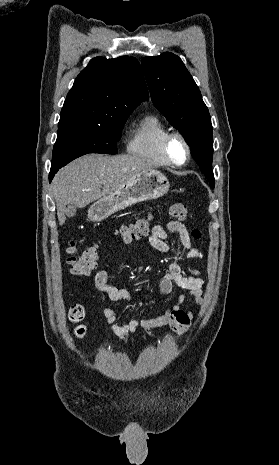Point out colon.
Returning a JSON list of instances; mask_svg holds the SVG:
<instances>
[{"label":"colon","instance_id":"5ec220e1","mask_svg":"<svg viewBox=\"0 0 279 465\" xmlns=\"http://www.w3.org/2000/svg\"><path fill=\"white\" fill-rule=\"evenodd\" d=\"M169 214L177 221H183L187 218L188 208L183 203H174L169 207ZM150 224L149 218H140L135 222L122 226L118 230V234L124 242H130L138 239L148 233ZM191 235L195 239H199L201 234L197 229L191 231ZM68 264L71 273L77 276H86L96 267L99 254L96 246L89 247L81 254L77 253V248L74 242H70L68 248ZM69 319L77 324L75 332L81 335L84 332V327L80 324L85 316L84 308L81 305H73L69 309Z\"/></svg>","mask_w":279,"mask_h":465}]
</instances>
